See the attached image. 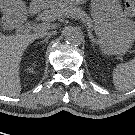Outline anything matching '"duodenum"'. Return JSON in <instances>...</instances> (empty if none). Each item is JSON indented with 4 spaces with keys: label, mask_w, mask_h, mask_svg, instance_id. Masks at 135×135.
<instances>
[{
    "label": "duodenum",
    "mask_w": 135,
    "mask_h": 135,
    "mask_svg": "<svg viewBox=\"0 0 135 135\" xmlns=\"http://www.w3.org/2000/svg\"><path fill=\"white\" fill-rule=\"evenodd\" d=\"M6 25L12 31H15L20 35L25 34L31 28V23L29 21L21 22L18 24H13L12 21H8Z\"/></svg>",
    "instance_id": "duodenum-1"
}]
</instances>
